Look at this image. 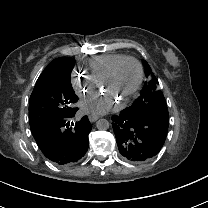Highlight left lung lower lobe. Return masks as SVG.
<instances>
[{
	"instance_id": "1",
	"label": "left lung lower lobe",
	"mask_w": 208,
	"mask_h": 208,
	"mask_svg": "<svg viewBox=\"0 0 208 208\" xmlns=\"http://www.w3.org/2000/svg\"><path fill=\"white\" fill-rule=\"evenodd\" d=\"M112 127L120 154L130 162H144L162 148L168 125L150 116L122 110L112 116Z\"/></svg>"
}]
</instances>
